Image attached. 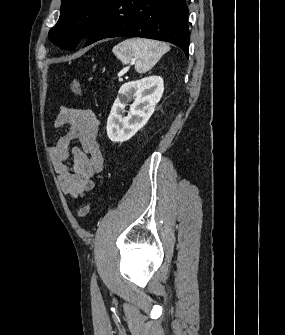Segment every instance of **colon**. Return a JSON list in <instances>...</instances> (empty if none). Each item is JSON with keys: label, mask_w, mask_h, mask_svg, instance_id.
Wrapping results in <instances>:
<instances>
[{"label": "colon", "mask_w": 285, "mask_h": 335, "mask_svg": "<svg viewBox=\"0 0 285 335\" xmlns=\"http://www.w3.org/2000/svg\"><path fill=\"white\" fill-rule=\"evenodd\" d=\"M71 90L74 94L81 96L83 94L81 85L77 79H72L71 81ZM92 208V205L90 203L85 204L82 206L78 211V216L81 219H84L87 217V215L90 213Z\"/></svg>", "instance_id": "colon-1"}]
</instances>
